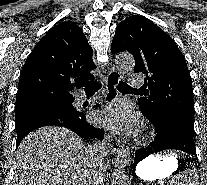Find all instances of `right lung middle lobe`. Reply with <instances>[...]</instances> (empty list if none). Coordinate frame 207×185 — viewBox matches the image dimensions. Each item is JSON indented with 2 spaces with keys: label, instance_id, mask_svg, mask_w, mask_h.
<instances>
[{
  "label": "right lung middle lobe",
  "instance_id": "dd1d6c3e",
  "mask_svg": "<svg viewBox=\"0 0 207 185\" xmlns=\"http://www.w3.org/2000/svg\"><path fill=\"white\" fill-rule=\"evenodd\" d=\"M81 117L79 111L70 103L44 105L21 111H15V127L25 122L43 118H52L57 121L73 122Z\"/></svg>",
  "mask_w": 207,
  "mask_h": 185
}]
</instances>
